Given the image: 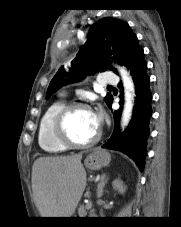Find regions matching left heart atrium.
<instances>
[{
    "label": "left heart atrium",
    "instance_id": "39dd6f15",
    "mask_svg": "<svg viewBox=\"0 0 181 227\" xmlns=\"http://www.w3.org/2000/svg\"><path fill=\"white\" fill-rule=\"evenodd\" d=\"M95 126L98 128L101 123V115L99 113H92Z\"/></svg>",
    "mask_w": 181,
    "mask_h": 227
}]
</instances>
